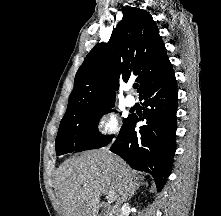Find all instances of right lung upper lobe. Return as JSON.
I'll list each match as a JSON object with an SVG mask.
<instances>
[{
	"instance_id": "obj_1",
	"label": "right lung upper lobe",
	"mask_w": 221,
	"mask_h": 216,
	"mask_svg": "<svg viewBox=\"0 0 221 216\" xmlns=\"http://www.w3.org/2000/svg\"><path fill=\"white\" fill-rule=\"evenodd\" d=\"M172 70L166 48L152 17L142 9L126 7L108 43H98L78 69L63 118L114 104L119 79L137 76L141 95Z\"/></svg>"
}]
</instances>
